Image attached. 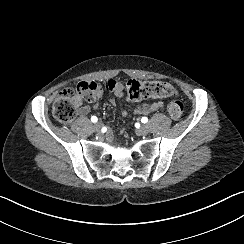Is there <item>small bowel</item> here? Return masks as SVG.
Returning a JSON list of instances; mask_svg holds the SVG:
<instances>
[{
  "label": "small bowel",
  "mask_w": 244,
  "mask_h": 244,
  "mask_svg": "<svg viewBox=\"0 0 244 244\" xmlns=\"http://www.w3.org/2000/svg\"><path fill=\"white\" fill-rule=\"evenodd\" d=\"M106 88L112 93V97L109 102L111 105L116 106V98H121L125 96V88L124 84L121 81L109 80L106 82ZM99 103H95L93 106L80 104L78 107V114L80 116H86L90 113L92 108H97ZM162 102H154V103H140L135 104L134 111L137 114L148 115L152 112L161 110L163 108ZM121 116H125L127 111L123 108H119L118 110Z\"/></svg>",
  "instance_id": "obj_1"
}]
</instances>
